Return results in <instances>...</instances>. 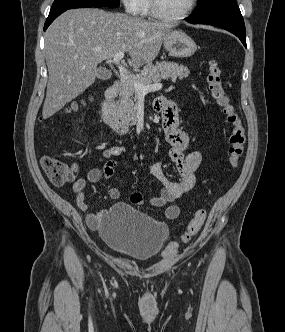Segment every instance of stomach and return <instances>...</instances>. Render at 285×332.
<instances>
[{"label":"stomach","mask_w":285,"mask_h":332,"mask_svg":"<svg viewBox=\"0 0 285 332\" xmlns=\"http://www.w3.org/2000/svg\"><path fill=\"white\" fill-rule=\"evenodd\" d=\"M164 47L171 56L177 58L190 57L197 50L193 39L182 31H171L164 40Z\"/></svg>","instance_id":"stomach-1"}]
</instances>
